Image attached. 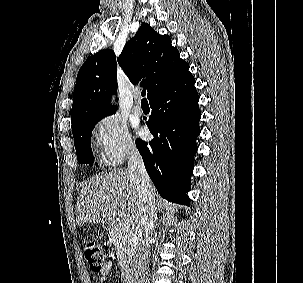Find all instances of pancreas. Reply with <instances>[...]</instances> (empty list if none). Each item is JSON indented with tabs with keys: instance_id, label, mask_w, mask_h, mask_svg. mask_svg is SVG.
I'll return each instance as SVG.
<instances>
[{
	"instance_id": "1",
	"label": "pancreas",
	"mask_w": 303,
	"mask_h": 283,
	"mask_svg": "<svg viewBox=\"0 0 303 283\" xmlns=\"http://www.w3.org/2000/svg\"><path fill=\"white\" fill-rule=\"evenodd\" d=\"M131 235L130 228H126L121 223L115 225L110 232V239L117 253L118 265L122 269L128 268L132 260L134 246L131 242Z\"/></svg>"
}]
</instances>
